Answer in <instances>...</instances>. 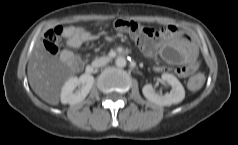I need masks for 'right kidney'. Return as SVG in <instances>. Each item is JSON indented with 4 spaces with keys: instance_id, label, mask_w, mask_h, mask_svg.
Instances as JSON below:
<instances>
[{
    "instance_id": "ca27d5eb",
    "label": "right kidney",
    "mask_w": 238,
    "mask_h": 145,
    "mask_svg": "<svg viewBox=\"0 0 238 145\" xmlns=\"http://www.w3.org/2000/svg\"><path fill=\"white\" fill-rule=\"evenodd\" d=\"M93 84L94 77L89 74H83L79 78L76 76L69 78L61 89V102L69 105L82 102L89 94Z\"/></svg>"
}]
</instances>
